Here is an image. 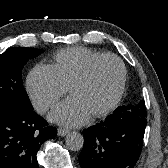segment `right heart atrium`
Wrapping results in <instances>:
<instances>
[{"label":"right heart atrium","mask_w":168,"mask_h":168,"mask_svg":"<svg viewBox=\"0 0 168 168\" xmlns=\"http://www.w3.org/2000/svg\"><path fill=\"white\" fill-rule=\"evenodd\" d=\"M26 89L39 113H45L53 107L68 91L55 67L47 64H37L30 70Z\"/></svg>","instance_id":"obj_1"}]
</instances>
